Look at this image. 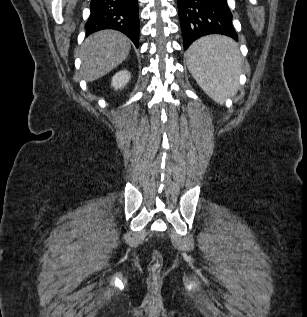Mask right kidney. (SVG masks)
<instances>
[{
    "label": "right kidney",
    "instance_id": "ca27d5eb",
    "mask_svg": "<svg viewBox=\"0 0 307 317\" xmlns=\"http://www.w3.org/2000/svg\"><path fill=\"white\" fill-rule=\"evenodd\" d=\"M131 74L127 70L117 72L113 78L111 85L117 90L123 88L130 80Z\"/></svg>",
    "mask_w": 307,
    "mask_h": 317
}]
</instances>
